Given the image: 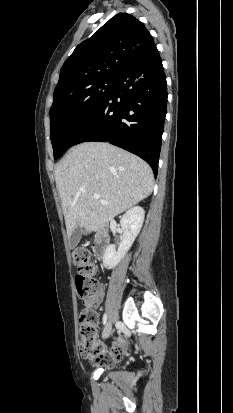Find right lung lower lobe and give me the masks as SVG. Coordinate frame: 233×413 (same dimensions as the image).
Returning <instances> with one entry per match:
<instances>
[{
    "mask_svg": "<svg viewBox=\"0 0 233 413\" xmlns=\"http://www.w3.org/2000/svg\"><path fill=\"white\" fill-rule=\"evenodd\" d=\"M166 106V77L153 44L117 73L112 93L72 146L109 142L148 162L156 178Z\"/></svg>",
    "mask_w": 233,
    "mask_h": 413,
    "instance_id": "1",
    "label": "right lung lower lobe"
}]
</instances>
